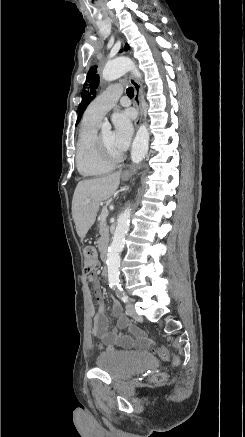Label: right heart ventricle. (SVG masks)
<instances>
[{
	"instance_id": "1",
	"label": "right heart ventricle",
	"mask_w": 245,
	"mask_h": 437,
	"mask_svg": "<svg viewBox=\"0 0 245 437\" xmlns=\"http://www.w3.org/2000/svg\"><path fill=\"white\" fill-rule=\"evenodd\" d=\"M99 122L83 117L76 139V166L85 177H100L110 173L114 163L103 160L95 149L94 139Z\"/></svg>"
}]
</instances>
